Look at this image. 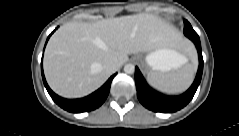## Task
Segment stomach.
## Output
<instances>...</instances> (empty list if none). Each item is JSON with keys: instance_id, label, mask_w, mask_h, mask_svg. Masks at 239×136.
Returning <instances> with one entry per match:
<instances>
[{"instance_id": "0dacf381", "label": "stomach", "mask_w": 239, "mask_h": 136, "mask_svg": "<svg viewBox=\"0 0 239 136\" xmlns=\"http://www.w3.org/2000/svg\"><path fill=\"white\" fill-rule=\"evenodd\" d=\"M145 61L153 70L165 72L177 69L186 61V58L174 49L159 47L150 51Z\"/></svg>"}]
</instances>
